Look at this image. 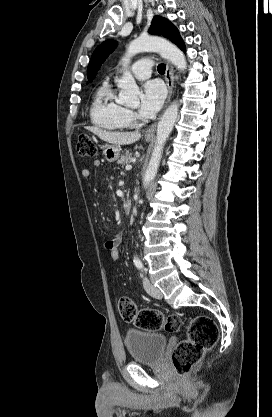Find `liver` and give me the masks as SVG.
I'll use <instances>...</instances> for the list:
<instances>
[{
  "label": "liver",
  "mask_w": 272,
  "mask_h": 417,
  "mask_svg": "<svg viewBox=\"0 0 272 417\" xmlns=\"http://www.w3.org/2000/svg\"><path fill=\"white\" fill-rule=\"evenodd\" d=\"M85 128L97 135L101 140L111 144L129 145L141 138L140 132H110L92 126H87Z\"/></svg>",
  "instance_id": "obj_1"
}]
</instances>
